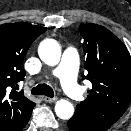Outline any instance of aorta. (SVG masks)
I'll return each mask as SVG.
<instances>
[{
    "mask_svg": "<svg viewBox=\"0 0 131 131\" xmlns=\"http://www.w3.org/2000/svg\"><path fill=\"white\" fill-rule=\"evenodd\" d=\"M38 53L41 60L50 66H55L60 61L61 49L54 39L42 41ZM55 113L61 119H69L73 116L74 107L69 101L62 99L56 102Z\"/></svg>",
    "mask_w": 131,
    "mask_h": 131,
    "instance_id": "1",
    "label": "aorta"
}]
</instances>
